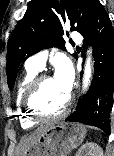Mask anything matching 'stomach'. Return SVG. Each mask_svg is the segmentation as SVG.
Instances as JSON below:
<instances>
[{
	"mask_svg": "<svg viewBox=\"0 0 114 156\" xmlns=\"http://www.w3.org/2000/svg\"><path fill=\"white\" fill-rule=\"evenodd\" d=\"M86 128L77 123L51 125L29 148L25 156H67L80 145Z\"/></svg>",
	"mask_w": 114,
	"mask_h": 156,
	"instance_id": "obj_1",
	"label": "stomach"
}]
</instances>
